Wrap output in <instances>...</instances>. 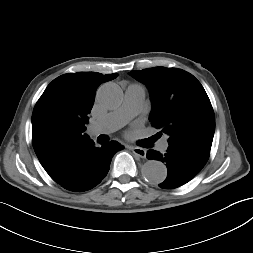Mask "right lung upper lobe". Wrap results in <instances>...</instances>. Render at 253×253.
<instances>
[{"label": "right lung upper lobe", "mask_w": 253, "mask_h": 253, "mask_svg": "<svg viewBox=\"0 0 253 253\" xmlns=\"http://www.w3.org/2000/svg\"><path fill=\"white\" fill-rule=\"evenodd\" d=\"M118 76L96 72L68 73L54 79L32 114V143L49 176L62 185L73 178L79 157L94 145L85 125L97 87Z\"/></svg>", "instance_id": "cb5924a9"}]
</instances>
